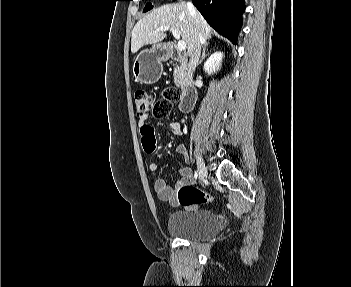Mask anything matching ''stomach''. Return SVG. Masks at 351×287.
I'll use <instances>...</instances> for the list:
<instances>
[{"label":"stomach","mask_w":351,"mask_h":287,"mask_svg":"<svg viewBox=\"0 0 351 287\" xmlns=\"http://www.w3.org/2000/svg\"><path fill=\"white\" fill-rule=\"evenodd\" d=\"M166 57L167 53L161 45L142 50L133 63L135 79L144 84L156 83L162 75V60Z\"/></svg>","instance_id":"0dacf381"}]
</instances>
